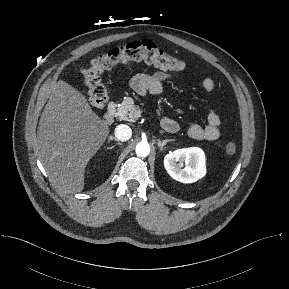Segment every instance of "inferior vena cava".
Returning a JSON list of instances; mask_svg holds the SVG:
<instances>
[{
  "label": "inferior vena cava",
  "mask_w": 289,
  "mask_h": 289,
  "mask_svg": "<svg viewBox=\"0 0 289 289\" xmlns=\"http://www.w3.org/2000/svg\"><path fill=\"white\" fill-rule=\"evenodd\" d=\"M115 136L119 141H127L132 136V130L129 126L120 124L115 128Z\"/></svg>",
  "instance_id": "inferior-vena-cava-1"
}]
</instances>
